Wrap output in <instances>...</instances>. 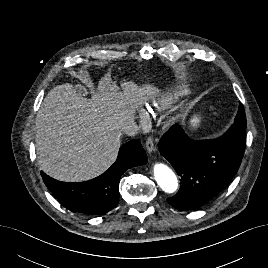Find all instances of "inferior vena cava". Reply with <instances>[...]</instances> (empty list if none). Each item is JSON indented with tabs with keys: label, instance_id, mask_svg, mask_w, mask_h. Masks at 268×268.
Instances as JSON below:
<instances>
[{
	"label": "inferior vena cava",
	"instance_id": "1",
	"mask_svg": "<svg viewBox=\"0 0 268 268\" xmlns=\"http://www.w3.org/2000/svg\"><path fill=\"white\" fill-rule=\"evenodd\" d=\"M138 126L135 123L126 125L123 127V133L128 136H134L138 133Z\"/></svg>",
	"mask_w": 268,
	"mask_h": 268
}]
</instances>
